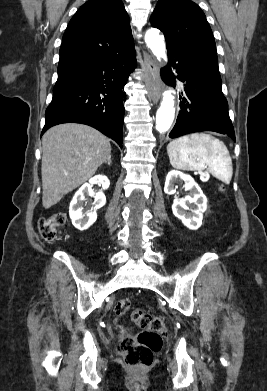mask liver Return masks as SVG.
<instances>
[{"label": "liver", "mask_w": 267, "mask_h": 391, "mask_svg": "<svg viewBox=\"0 0 267 391\" xmlns=\"http://www.w3.org/2000/svg\"><path fill=\"white\" fill-rule=\"evenodd\" d=\"M42 204L49 209L90 179L111 157L107 137L86 125L50 128L42 138Z\"/></svg>", "instance_id": "1"}]
</instances>
